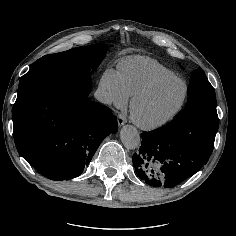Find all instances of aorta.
Returning <instances> with one entry per match:
<instances>
[{
  "instance_id": "1",
  "label": "aorta",
  "mask_w": 236,
  "mask_h": 236,
  "mask_svg": "<svg viewBox=\"0 0 236 236\" xmlns=\"http://www.w3.org/2000/svg\"><path fill=\"white\" fill-rule=\"evenodd\" d=\"M120 139L127 149L134 150L140 145V135L132 125H125L120 130Z\"/></svg>"
}]
</instances>
